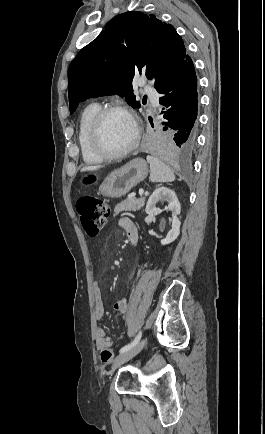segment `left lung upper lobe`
I'll use <instances>...</instances> for the list:
<instances>
[{"mask_svg":"<svg viewBox=\"0 0 265 434\" xmlns=\"http://www.w3.org/2000/svg\"><path fill=\"white\" fill-rule=\"evenodd\" d=\"M186 56L183 40L172 25L139 11L117 15L69 66L70 113L88 97L112 94L139 108L132 93L135 74L144 73L159 92Z\"/></svg>","mask_w":265,"mask_h":434,"instance_id":"5c2ea615","label":"left lung upper lobe"}]
</instances>
